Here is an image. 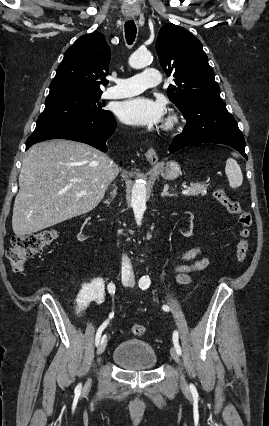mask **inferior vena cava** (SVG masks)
<instances>
[{
  "instance_id": "inferior-vena-cava-1",
  "label": "inferior vena cava",
  "mask_w": 269,
  "mask_h": 426,
  "mask_svg": "<svg viewBox=\"0 0 269 426\" xmlns=\"http://www.w3.org/2000/svg\"><path fill=\"white\" fill-rule=\"evenodd\" d=\"M122 275H132L131 262L127 256H123L122 258Z\"/></svg>"
}]
</instances>
